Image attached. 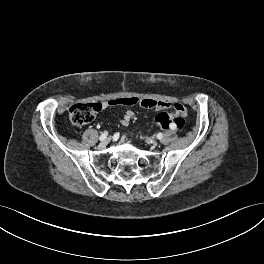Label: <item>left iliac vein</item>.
<instances>
[{
	"label": "left iliac vein",
	"mask_w": 264,
	"mask_h": 264,
	"mask_svg": "<svg viewBox=\"0 0 264 264\" xmlns=\"http://www.w3.org/2000/svg\"><path fill=\"white\" fill-rule=\"evenodd\" d=\"M148 140H149L150 143L156 144V140H154L152 138H149Z\"/></svg>",
	"instance_id": "obj_1"
}]
</instances>
